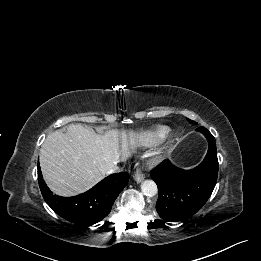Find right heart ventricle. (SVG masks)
I'll return each mask as SVG.
<instances>
[{"label": "right heart ventricle", "instance_id": "1", "mask_svg": "<svg viewBox=\"0 0 261 261\" xmlns=\"http://www.w3.org/2000/svg\"><path fill=\"white\" fill-rule=\"evenodd\" d=\"M167 134L168 129L163 126L146 130L139 135V143L143 146H151L164 139Z\"/></svg>", "mask_w": 261, "mask_h": 261}]
</instances>
